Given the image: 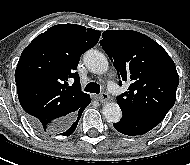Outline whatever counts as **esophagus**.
Segmentation results:
<instances>
[{
	"label": "esophagus",
	"mask_w": 190,
	"mask_h": 165,
	"mask_svg": "<svg viewBox=\"0 0 190 165\" xmlns=\"http://www.w3.org/2000/svg\"><path fill=\"white\" fill-rule=\"evenodd\" d=\"M109 99H110V96L105 92L98 96V100L102 103L109 101Z\"/></svg>",
	"instance_id": "1"
}]
</instances>
